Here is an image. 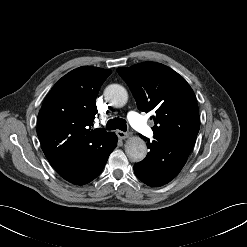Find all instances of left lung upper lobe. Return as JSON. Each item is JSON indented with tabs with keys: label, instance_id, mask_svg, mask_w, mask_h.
I'll list each match as a JSON object with an SVG mask.
<instances>
[{
	"label": "left lung upper lobe",
	"instance_id": "5c2ea615",
	"mask_svg": "<svg viewBox=\"0 0 247 247\" xmlns=\"http://www.w3.org/2000/svg\"><path fill=\"white\" fill-rule=\"evenodd\" d=\"M117 71L130 87L138 109L154 112L155 141H182L194 146L200 128L198 105L192 88L182 76L156 62Z\"/></svg>",
	"mask_w": 247,
	"mask_h": 247
}]
</instances>
